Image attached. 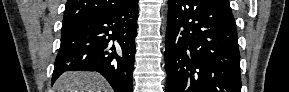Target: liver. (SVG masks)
I'll list each match as a JSON object with an SVG mask.
<instances>
[{
	"label": "liver",
	"mask_w": 289,
	"mask_h": 92,
	"mask_svg": "<svg viewBox=\"0 0 289 92\" xmlns=\"http://www.w3.org/2000/svg\"><path fill=\"white\" fill-rule=\"evenodd\" d=\"M54 92H111V88L98 73L71 71L56 80Z\"/></svg>",
	"instance_id": "1"
}]
</instances>
